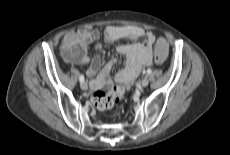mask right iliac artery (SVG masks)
Segmentation results:
<instances>
[{"mask_svg": "<svg viewBox=\"0 0 230 155\" xmlns=\"http://www.w3.org/2000/svg\"><path fill=\"white\" fill-rule=\"evenodd\" d=\"M79 80H80V82H84V76L80 75Z\"/></svg>", "mask_w": 230, "mask_h": 155, "instance_id": "1", "label": "right iliac artery"}]
</instances>
